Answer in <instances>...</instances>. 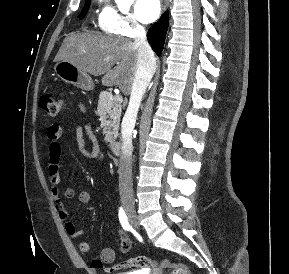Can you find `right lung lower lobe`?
I'll return each instance as SVG.
<instances>
[{"label":"right lung lower lobe","mask_w":289,"mask_h":274,"mask_svg":"<svg viewBox=\"0 0 289 274\" xmlns=\"http://www.w3.org/2000/svg\"><path fill=\"white\" fill-rule=\"evenodd\" d=\"M168 23V12H165L164 15L161 16L160 21L154 23L147 33L148 41L158 56H160L163 49Z\"/></svg>","instance_id":"right-lung-lower-lobe-1"}]
</instances>
